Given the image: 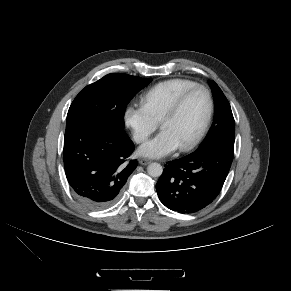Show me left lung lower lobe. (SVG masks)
Returning a JSON list of instances; mask_svg holds the SVG:
<instances>
[{
  "instance_id": "obj_1",
  "label": "left lung lower lobe",
  "mask_w": 291,
  "mask_h": 291,
  "mask_svg": "<svg viewBox=\"0 0 291 291\" xmlns=\"http://www.w3.org/2000/svg\"><path fill=\"white\" fill-rule=\"evenodd\" d=\"M233 155L234 145L216 143L168 162L156 184L160 201L183 214L205 208L219 194Z\"/></svg>"
}]
</instances>
